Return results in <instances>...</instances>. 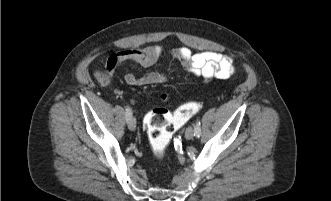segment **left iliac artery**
<instances>
[{"label": "left iliac artery", "instance_id": "44dca946", "mask_svg": "<svg viewBox=\"0 0 331 201\" xmlns=\"http://www.w3.org/2000/svg\"><path fill=\"white\" fill-rule=\"evenodd\" d=\"M196 137H200L201 135V128H200V122H196V126H195V134Z\"/></svg>", "mask_w": 331, "mask_h": 201}]
</instances>
